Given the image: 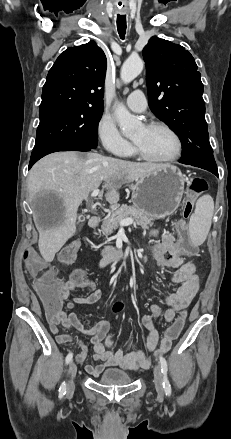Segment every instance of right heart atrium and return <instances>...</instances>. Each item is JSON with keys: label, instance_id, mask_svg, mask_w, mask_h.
Returning <instances> with one entry per match:
<instances>
[{"label": "right heart atrium", "instance_id": "1", "mask_svg": "<svg viewBox=\"0 0 231 439\" xmlns=\"http://www.w3.org/2000/svg\"><path fill=\"white\" fill-rule=\"evenodd\" d=\"M97 136L102 146L110 153L125 156L131 153L132 146L120 133L115 120L103 115L97 124Z\"/></svg>", "mask_w": 231, "mask_h": 439}]
</instances>
